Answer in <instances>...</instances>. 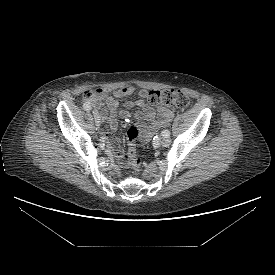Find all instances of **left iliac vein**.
Instances as JSON below:
<instances>
[{
  "label": "left iliac vein",
  "instance_id": "left-iliac-vein-1",
  "mask_svg": "<svg viewBox=\"0 0 275 275\" xmlns=\"http://www.w3.org/2000/svg\"><path fill=\"white\" fill-rule=\"evenodd\" d=\"M171 142V139L169 137H164L161 139L162 146H168Z\"/></svg>",
  "mask_w": 275,
  "mask_h": 275
}]
</instances>
